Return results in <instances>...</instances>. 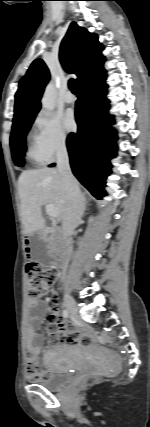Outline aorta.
<instances>
[{"mask_svg":"<svg viewBox=\"0 0 150 427\" xmlns=\"http://www.w3.org/2000/svg\"><path fill=\"white\" fill-rule=\"evenodd\" d=\"M55 100H56V89L52 83H49L46 86L44 91L41 104L43 109L47 111H53L55 108Z\"/></svg>","mask_w":150,"mask_h":427,"instance_id":"762f6f07","label":"aorta"}]
</instances>
